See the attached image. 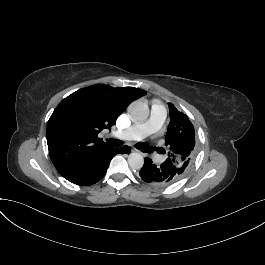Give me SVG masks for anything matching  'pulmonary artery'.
<instances>
[{"instance_id":"1","label":"pulmonary artery","mask_w":265,"mask_h":265,"mask_svg":"<svg viewBox=\"0 0 265 265\" xmlns=\"http://www.w3.org/2000/svg\"><path fill=\"white\" fill-rule=\"evenodd\" d=\"M150 110L153 115L146 122L135 125L129 132L125 129L120 130L119 138L125 140L129 136L133 140H140L160 128L166 116L164 106L160 103H153L150 105Z\"/></svg>"}]
</instances>
